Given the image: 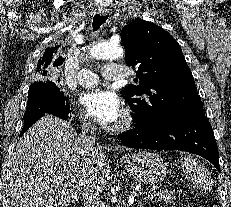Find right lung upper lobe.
<instances>
[{
	"label": "right lung upper lobe",
	"instance_id": "cb5924a9",
	"mask_svg": "<svg viewBox=\"0 0 231 207\" xmlns=\"http://www.w3.org/2000/svg\"><path fill=\"white\" fill-rule=\"evenodd\" d=\"M58 48L59 46H52L45 50L43 56L39 59L37 64L35 73L37 76L47 74L46 69L48 68V66H51L53 62L57 63V65H60L61 62L63 63L64 59L62 57H59L57 59L54 58V55L56 54Z\"/></svg>",
	"mask_w": 231,
	"mask_h": 207
}]
</instances>
